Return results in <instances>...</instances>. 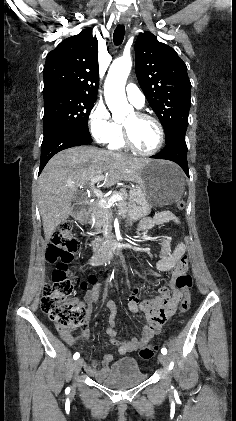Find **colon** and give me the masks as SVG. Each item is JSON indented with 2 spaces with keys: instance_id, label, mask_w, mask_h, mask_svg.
Listing matches in <instances>:
<instances>
[{
  "instance_id": "colon-1",
  "label": "colon",
  "mask_w": 236,
  "mask_h": 421,
  "mask_svg": "<svg viewBox=\"0 0 236 421\" xmlns=\"http://www.w3.org/2000/svg\"><path fill=\"white\" fill-rule=\"evenodd\" d=\"M178 210L185 208V202L176 203ZM79 247L78 240L73 232L71 222H64L52 236L51 242L46 251V259L56 263L52 272L51 281L43 288L42 310L55 324L59 331H73L87 322V311L83 306L68 300L69 295L76 287L87 288L88 285H95L98 282L97 275H91L86 281L75 277L68 269V264L73 260ZM175 284L182 293L179 303V314L188 312L191 305L190 289L192 277L187 273V262L180 260L176 267ZM157 345H146L140 350V356L149 360L154 356Z\"/></svg>"
}]
</instances>
